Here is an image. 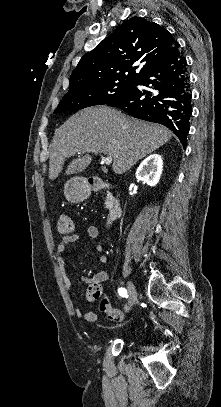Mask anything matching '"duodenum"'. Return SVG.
Wrapping results in <instances>:
<instances>
[{"instance_id": "duodenum-1", "label": "duodenum", "mask_w": 221, "mask_h": 407, "mask_svg": "<svg viewBox=\"0 0 221 407\" xmlns=\"http://www.w3.org/2000/svg\"><path fill=\"white\" fill-rule=\"evenodd\" d=\"M90 188L94 191H107L108 192V203L109 209L107 214V223H111L114 220L118 219L122 214V206L119 195L116 190L117 187L115 184H107L103 182L91 183Z\"/></svg>"}]
</instances>
